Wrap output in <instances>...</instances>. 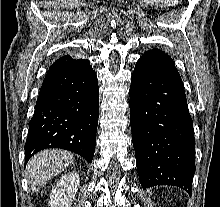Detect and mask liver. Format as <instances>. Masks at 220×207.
I'll use <instances>...</instances> for the list:
<instances>
[{"label": "liver", "instance_id": "6515ba94", "mask_svg": "<svg viewBox=\"0 0 220 207\" xmlns=\"http://www.w3.org/2000/svg\"><path fill=\"white\" fill-rule=\"evenodd\" d=\"M74 163L71 153L58 150H43L34 155L26 167V178L32 192H39L41 187Z\"/></svg>", "mask_w": 220, "mask_h": 207}]
</instances>
